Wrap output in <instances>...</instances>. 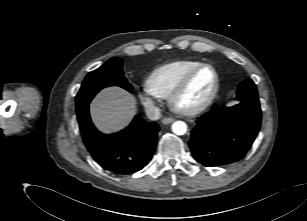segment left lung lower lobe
<instances>
[{
    "mask_svg": "<svg viewBox=\"0 0 307 221\" xmlns=\"http://www.w3.org/2000/svg\"><path fill=\"white\" fill-rule=\"evenodd\" d=\"M240 103L213 108L197 120L189 147L194 158L207 167L227 165L244 157L261 124L257 93H239Z\"/></svg>",
    "mask_w": 307,
    "mask_h": 221,
    "instance_id": "obj_1",
    "label": "left lung lower lobe"
}]
</instances>
